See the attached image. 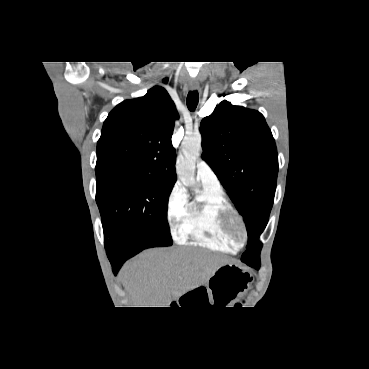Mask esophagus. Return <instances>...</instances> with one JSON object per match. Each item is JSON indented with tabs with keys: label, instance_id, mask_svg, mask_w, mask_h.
<instances>
[{
	"label": "esophagus",
	"instance_id": "esophagus-1",
	"mask_svg": "<svg viewBox=\"0 0 369 369\" xmlns=\"http://www.w3.org/2000/svg\"><path fill=\"white\" fill-rule=\"evenodd\" d=\"M189 88H190L191 90H197V89L199 88V84H198L197 82H191V83L189 84Z\"/></svg>",
	"mask_w": 369,
	"mask_h": 369
}]
</instances>
